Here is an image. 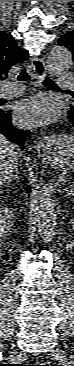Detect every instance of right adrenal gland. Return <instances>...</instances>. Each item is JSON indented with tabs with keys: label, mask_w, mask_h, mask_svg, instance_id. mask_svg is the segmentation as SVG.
<instances>
[{
	"label": "right adrenal gland",
	"mask_w": 74,
	"mask_h": 366,
	"mask_svg": "<svg viewBox=\"0 0 74 366\" xmlns=\"http://www.w3.org/2000/svg\"><path fill=\"white\" fill-rule=\"evenodd\" d=\"M19 177H18V175H16L15 177H13V178H10V179H8L7 181H6V183L9 185L10 183H12L13 181H16V182H19Z\"/></svg>",
	"instance_id": "obj_1"
}]
</instances>
